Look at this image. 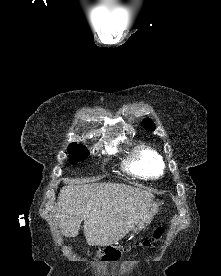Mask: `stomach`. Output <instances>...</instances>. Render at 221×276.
Wrapping results in <instances>:
<instances>
[{
    "label": "stomach",
    "mask_w": 221,
    "mask_h": 276,
    "mask_svg": "<svg viewBox=\"0 0 221 276\" xmlns=\"http://www.w3.org/2000/svg\"><path fill=\"white\" fill-rule=\"evenodd\" d=\"M161 203L159 201H152L147 207L144 215L140 218L138 223L133 227L132 232L137 234L139 231L144 230L151 222L152 218L158 213Z\"/></svg>",
    "instance_id": "0dacf381"
}]
</instances>
